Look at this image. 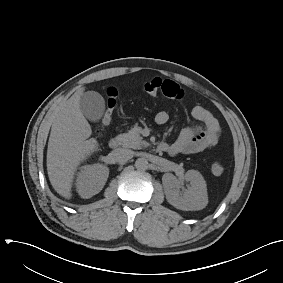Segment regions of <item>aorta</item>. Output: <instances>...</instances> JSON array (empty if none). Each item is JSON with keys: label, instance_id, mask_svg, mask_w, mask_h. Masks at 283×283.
Segmentation results:
<instances>
[{"label": "aorta", "instance_id": "aorta-1", "mask_svg": "<svg viewBox=\"0 0 283 283\" xmlns=\"http://www.w3.org/2000/svg\"><path fill=\"white\" fill-rule=\"evenodd\" d=\"M148 161L146 158H138L136 161H135V168L138 170V171H144L148 168Z\"/></svg>", "mask_w": 283, "mask_h": 283}]
</instances>
